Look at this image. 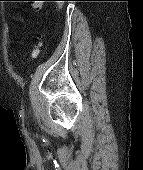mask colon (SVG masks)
<instances>
[{
  "label": "colon",
  "instance_id": "colon-1",
  "mask_svg": "<svg viewBox=\"0 0 143 170\" xmlns=\"http://www.w3.org/2000/svg\"><path fill=\"white\" fill-rule=\"evenodd\" d=\"M29 1H31L33 3V7L34 8H38L39 7V4H36L39 1H58L57 2L58 4L55 7L56 11L60 13L62 11V9H63V4L61 2L63 0H29ZM41 49H42V42H40L39 45L34 50L33 57H35V58L38 57V55L41 52Z\"/></svg>",
  "mask_w": 143,
  "mask_h": 170
}]
</instances>
